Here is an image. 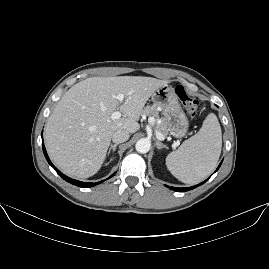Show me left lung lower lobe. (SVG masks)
Returning a JSON list of instances; mask_svg holds the SVG:
<instances>
[{
    "label": "left lung lower lobe",
    "mask_w": 269,
    "mask_h": 269,
    "mask_svg": "<svg viewBox=\"0 0 269 269\" xmlns=\"http://www.w3.org/2000/svg\"><path fill=\"white\" fill-rule=\"evenodd\" d=\"M222 163V161H221ZM221 163L219 164L218 168L216 169V171L219 169V167L221 166ZM209 179V178H208ZM207 179V180H208ZM207 180H205L204 182L200 183L199 185L205 183ZM199 185H195V186H192V187H188V188H176V187H170V189L174 190V191H177V192H185V191H188V190H191V189H194L196 188L197 186Z\"/></svg>",
    "instance_id": "obj_1"
}]
</instances>
